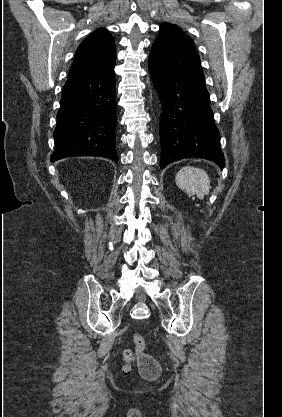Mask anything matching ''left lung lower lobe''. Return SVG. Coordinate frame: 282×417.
<instances>
[{"mask_svg":"<svg viewBox=\"0 0 282 417\" xmlns=\"http://www.w3.org/2000/svg\"><path fill=\"white\" fill-rule=\"evenodd\" d=\"M149 72L162 104L161 169L189 157L214 161L225 158L213 119L200 58L195 49L153 44Z\"/></svg>","mask_w":282,"mask_h":417,"instance_id":"1","label":"left lung lower lobe"}]
</instances>
